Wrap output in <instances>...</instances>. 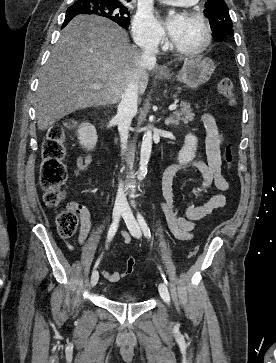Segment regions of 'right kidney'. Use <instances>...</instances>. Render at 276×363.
<instances>
[{
  "mask_svg": "<svg viewBox=\"0 0 276 363\" xmlns=\"http://www.w3.org/2000/svg\"><path fill=\"white\" fill-rule=\"evenodd\" d=\"M77 134L79 143L83 148L87 150L94 149L97 144L98 136L93 125L90 123H82L77 130Z\"/></svg>",
  "mask_w": 276,
  "mask_h": 363,
  "instance_id": "1",
  "label": "right kidney"
}]
</instances>
